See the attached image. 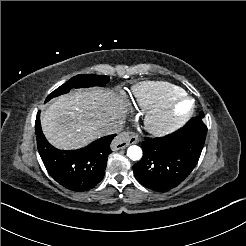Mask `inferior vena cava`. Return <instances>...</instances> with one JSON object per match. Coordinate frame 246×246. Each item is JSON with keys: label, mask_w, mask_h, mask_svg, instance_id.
I'll return each instance as SVG.
<instances>
[{"label": "inferior vena cava", "mask_w": 246, "mask_h": 246, "mask_svg": "<svg viewBox=\"0 0 246 246\" xmlns=\"http://www.w3.org/2000/svg\"><path fill=\"white\" fill-rule=\"evenodd\" d=\"M122 130V124L114 125L108 130V134H115Z\"/></svg>", "instance_id": "602c4592"}]
</instances>
